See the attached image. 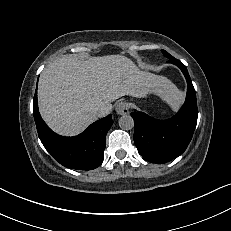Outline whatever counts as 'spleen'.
<instances>
[{
	"label": "spleen",
	"instance_id": "1",
	"mask_svg": "<svg viewBox=\"0 0 231 231\" xmlns=\"http://www.w3.org/2000/svg\"><path fill=\"white\" fill-rule=\"evenodd\" d=\"M170 105H171L172 108H177L178 105H179V98L178 97L173 98V100L171 101ZM165 114H166V111H163L161 113V115H165Z\"/></svg>",
	"mask_w": 231,
	"mask_h": 231
}]
</instances>
